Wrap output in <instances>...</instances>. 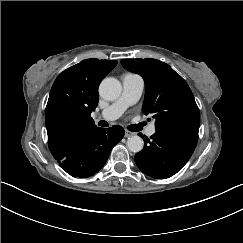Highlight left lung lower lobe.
<instances>
[{
  "label": "left lung lower lobe",
  "mask_w": 243,
  "mask_h": 243,
  "mask_svg": "<svg viewBox=\"0 0 243 243\" xmlns=\"http://www.w3.org/2000/svg\"><path fill=\"white\" fill-rule=\"evenodd\" d=\"M144 148L135 155V163L146 175L165 179L173 176L187 163L198 141V134L178 130H156Z\"/></svg>",
  "instance_id": "left-lung-lower-lobe-1"
}]
</instances>
